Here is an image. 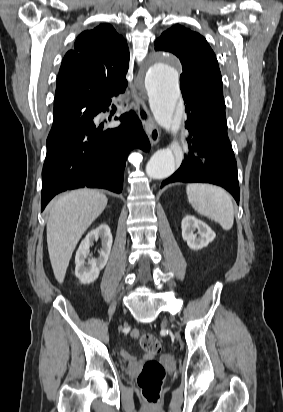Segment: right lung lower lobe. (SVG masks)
<instances>
[{
  "instance_id": "right-lung-lower-lobe-1",
  "label": "right lung lower lobe",
  "mask_w": 283,
  "mask_h": 412,
  "mask_svg": "<svg viewBox=\"0 0 283 412\" xmlns=\"http://www.w3.org/2000/svg\"><path fill=\"white\" fill-rule=\"evenodd\" d=\"M119 94L101 93L86 106L54 118L42 171L41 211L56 194L68 189L87 186L122 191L130 150L147 151L150 145L133 111L120 116L117 128L103 130L97 125V115L108 110L111 99Z\"/></svg>"
}]
</instances>
